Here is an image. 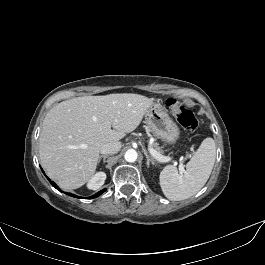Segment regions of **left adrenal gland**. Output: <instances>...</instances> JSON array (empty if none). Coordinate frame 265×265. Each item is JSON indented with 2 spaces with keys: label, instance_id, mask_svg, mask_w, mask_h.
Segmentation results:
<instances>
[{
  "label": "left adrenal gland",
  "instance_id": "obj_1",
  "mask_svg": "<svg viewBox=\"0 0 265 265\" xmlns=\"http://www.w3.org/2000/svg\"><path fill=\"white\" fill-rule=\"evenodd\" d=\"M143 151H144V154H145L146 159H147V161H146L147 167H149L150 162L154 165L155 161L149 157V155L145 149Z\"/></svg>",
  "mask_w": 265,
  "mask_h": 265
}]
</instances>
